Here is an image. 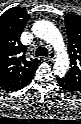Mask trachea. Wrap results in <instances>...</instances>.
Instances as JSON below:
<instances>
[{
  "label": "trachea",
  "instance_id": "trachea-1",
  "mask_svg": "<svg viewBox=\"0 0 81 124\" xmlns=\"http://www.w3.org/2000/svg\"><path fill=\"white\" fill-rule=\"evenodd\" d=\"M48 55V49L44 46H40L36 49L35 56H47Z\"/></svg>",
  "mask_w": 81,
  "mask_h": 124
}]
</instances>
